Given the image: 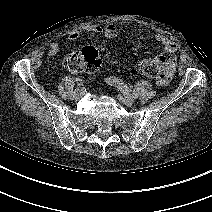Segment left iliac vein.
Segmentation results:
<instances>
[{
	"label": "left iliac vein",
	"instance_id": "1",
	"mask_svg": "<svg viewBox=\"0 0 212 212\" xmlns=\"http://www.w3.org/2000/svg\"><path fill=\"white\" fill-rule=\"evenodd\" d=\"M118 99L128 107H131L134 104V98L128 95H118Z\"/></svg>",
	"mask_w": 212,
	"mask_h": 212
}]
</instances>
